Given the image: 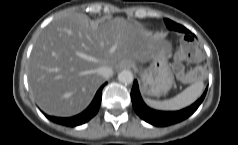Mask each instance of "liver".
Instances as JSON below:
<instances>
[{"instance_id": "obj_1", "label": "liver", "mask_w": 238, "mask_h": 145, "mask_svg": "<svg viewBox=\"0 0 238 145\" xmlns=\"http://www.w3.org/2000/svg\"><path fill=\"white\" fill-rule=\"evenodd\" d=\"M162 47L160 36L122 17L94 21L84 14L66 15L44 28L34 43L27 71L31 93L49 115H76L105 80L99 67L146 63Z\"/></svg>"}]
</instances>
